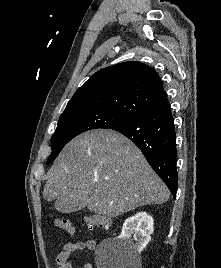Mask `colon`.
<instances>
[{"label":"colon","mask_w":221,"mask_h":268,"mask_svg":"<svg viewBox=\"0 0 221 268\" xmlns=\"http://www.w3.org/2000/svg\"><path fill=\"white\" fill-rule=\"evenodd\" d=\"M54 222L59 229L70 234L75 233V226L71 223L70 220L65 218H56ZM85 223L89 230H93L95 228L109 229L111 227L110 219L106 216L98 214H93L86 217Z\"/></svg>","instance_id":"1"}]
</instances>
